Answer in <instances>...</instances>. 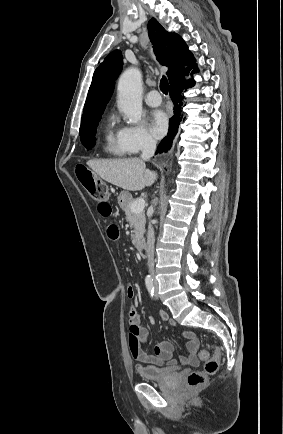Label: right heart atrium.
Returning a JSON list of instances; mask_svg holds the SVG:
<instances>
[{
	"mask_svg": "<svg viewBox=\"0 0 283 434\" xmlns=\"http://www.w3.org/2000/svg\"><path fill=\"white\" fill-rule=\"evenodd\" d=\"M120 138L129 154H137L155 145V140L141 124L125 126L120 129Z\"/></svg>",
	"mask_w": 283,
	"mask_h": 434,
	"instance_id": "obj_1",
	"label": "right heart atrium"
}]
</instances>
